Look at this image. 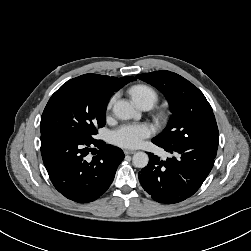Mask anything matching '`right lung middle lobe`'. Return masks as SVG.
Listing matches in <instances>:
<instances>
[{
    "mask_svg": "<svg viewBox=\"0 0 251 251\" xmlns=\"http://www.w3.org/2000/svg\"><path fill=\"white\" fill-rule=\"evenodd\" d=\"M110 97L97 86L71 79L48 101L40 123L41 134L63 131L91 140L106 123Z\"/></svg>",
    "mask_w": 251,
    "mask_h": 251,
    "instance_id": "dd1d6c3e",
    "label": "right lung middle lobe"
}]
</instances>
